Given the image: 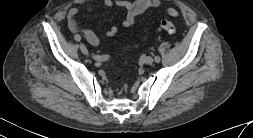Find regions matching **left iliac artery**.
Segmentation results:
<instances>
[{
	"label": "left iliac artery",
	"mask_w": 253,
	"mask_h": 138,
	"mask_svg": "<svg viewBox=\"0 0 253 138\" xmlns=\"http://www.w3.org/2000/svg\"><path fill=\"white\" fill-rule=\"evenodd\" d=\"M154 60H155V62L159 63L161 59H160V57L158 55H156L155 58H154Z\"/></svg>",
	"instance_id": "1"
}]
</instances>
